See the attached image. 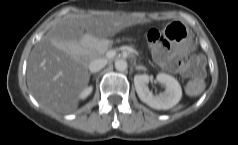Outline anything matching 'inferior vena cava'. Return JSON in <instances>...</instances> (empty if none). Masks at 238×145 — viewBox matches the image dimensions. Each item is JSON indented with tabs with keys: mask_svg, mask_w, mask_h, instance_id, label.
<instances>
[{
	"mask_svg": "<svg viewBox=\"0 0 238 145\" xmlns=\"http://www.w3.org/2000/svg\"><path fill=\"white\" fill-rule=\"evenodd\" d=\"M107 64V60L103 58L94 59L89 63V70L92 73H96L104 68Z\"/></svg>",
	"mask_w": 238,
	"mask_h": 145,
	"instance_id": "obj_1",
	"label": "inferior vena cava"
}]
</instances>
